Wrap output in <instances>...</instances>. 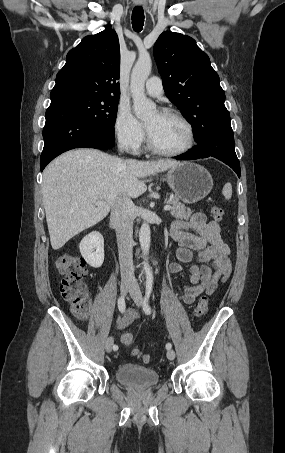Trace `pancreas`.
I'll list each match as a JSON object with an SVG mask.
<instances>
[{
	"instance_id": "1",
	"label": "pancreas",
	"mask_w": 285,
	"mask_h": 453,
	"mask_svg": "<svg viewBox=\"0 0 285 453\" xmlns=\"http://www.w3.org/2000/svg\"><path fill=\"white\" fill-rule=\"evenodd\" d=\"M169 203L172 205V209L170 210V214L176 219H184L188 220L192 214V211L189 208H186L184 204H182L179 199L175 196H170Z\"/></svg>"
}]
</instances>
